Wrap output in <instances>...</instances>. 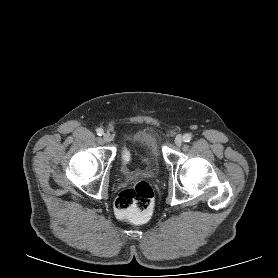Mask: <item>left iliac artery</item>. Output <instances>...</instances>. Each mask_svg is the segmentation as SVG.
I'll return each mask as SVG.
<instances>
[{
	"mask_svg": "<svg viewBox=\"0 0 278 278\" xmlns=\"http://www.w3.org/2000/svg\"><path fill=\"white\" fill-rule=\"evenodd\" d=\"M192 139L191 135L190 134H185L183 136V141L184 142H190V140Z\"/></svg>",
	"mask_w": 278,
	"mask_h": 278,
	"instance_id": "left-iliac-artery-1",
	"label": "left iliac artery"
}]
</instances>
